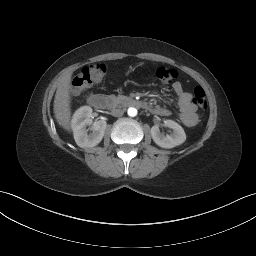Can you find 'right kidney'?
<instances>
[{
    "mask_svg": "<svg viewBox=\"0 0 256 256\" xmlns=\"http://www.w3.org/2000/svg\"><path fill=\"white\" fill-rule=\"evenodd\" d=\"M92 108L90 106H82L75 111L72 118V130L76 144L81 148H91L98 145L103 139L106 121H92ZM93 123V125H92ZM92 125V132L88 134L87 126Z\"/></svg>",
    "mask_w": 256,
    "mask_h": 256,
    "instance_id": "1",
    "label": "right kidney"
}]
</instances>
